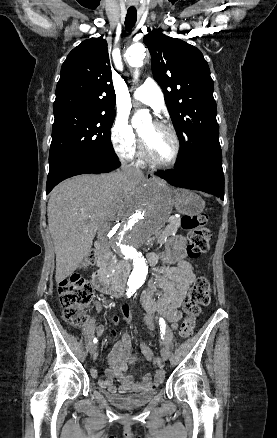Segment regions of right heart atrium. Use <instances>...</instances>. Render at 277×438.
I'll list each match as a JSON object with an SVG mask.
<instances>
[{
	"label": "right heart atrium",
	"instance_id": "right-heart-atrium-1",
	"mask_svg": "<svg viewBox=\"0 0 277 438\" xmlns=\"http://www.w3.org/2000/svg\"><path fill=\"white\" fill-rule=\"evenodd\" d=\"M111 140L121 157L132 159L136 155L138 140L125 114H117L111 129Z\"/></svg>",
	"mask_w": 277,
	"mask_h": 438
}]
</instances>
